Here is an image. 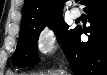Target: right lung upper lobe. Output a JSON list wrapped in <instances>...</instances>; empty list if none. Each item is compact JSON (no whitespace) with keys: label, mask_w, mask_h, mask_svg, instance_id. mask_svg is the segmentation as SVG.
Returning <instances> with one entry per match:
<instances>
[{"label":"right lung upper lobe","mask_w":107,"mask_h":75,"mask_svg":"<svg viewBox=\"0 0 107 75\" xmlns=\"http://www.w3.org/2000/svg\"><path fill=\"white\" fill-rule=\"evenodd\" d=\"M64 2L65 0H25L21 24H42L62 18L60 10Z\"/></svg>","instance_id":"obj_1"}]
</instances>
